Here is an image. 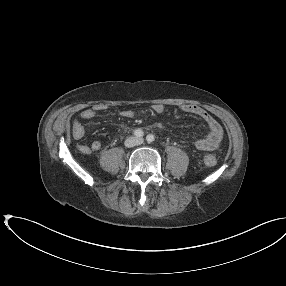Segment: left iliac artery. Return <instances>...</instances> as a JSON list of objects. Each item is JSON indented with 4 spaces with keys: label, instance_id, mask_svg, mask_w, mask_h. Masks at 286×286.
Segmentation results:
<instances>
[{
    "label": "left iliac artery",
    "instance_id": "obj_1",
    "mask_svg": "<svg viewBox=\"0 0 286 286\" xmlns=\"http://www.w3.org/2000/svg\"><path fill=\"white\" fill-rule=\"evenodd\" d=\"M146 140H147L149 143H152V142L155 140V137H154V135L149 134V135H147Z\"/></svg>",
    "mask_w": 286,
    "mask_h": 286
}]
</instances>
